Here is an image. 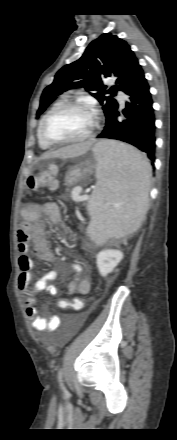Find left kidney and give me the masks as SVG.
Wrapping results in <instances>:
<instances>
[{"label":"left kidney","instance_id":"1","mask_svg":"<svg viewBox=\"0 0 177 440\" xmlns=\"http://www.w3.org/2000/svg\"><path fill=\"white\" fill-rule=\"evenodd\" d=\"M123 259V253L120 250L105 249L97 254V267L101 276H107Z\"/></svg>","mask_w":177,"mask_h":440}]
</instances>
